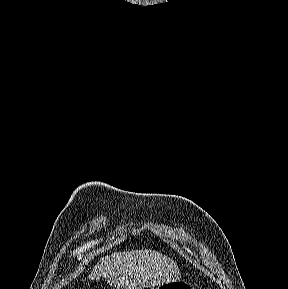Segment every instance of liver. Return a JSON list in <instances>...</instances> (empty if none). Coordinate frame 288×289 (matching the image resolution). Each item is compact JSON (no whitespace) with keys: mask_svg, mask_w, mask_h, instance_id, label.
<instances>
[{"mask_svg":"<svg viewBox=\"0 0 288 289\" xmlns=\"http://www.w3.org/2000/svg\"><path fill=\"white\" fill-rule=\"evenodd\" d=\"M88 278H105L116 289H144L179 280L180 270L171 258L159 252L132 250L104 257Z\"/></svg>","mask_w":288,"mask_h":289,"instance_id":"1","label":"liver"}]
</instances>
